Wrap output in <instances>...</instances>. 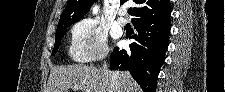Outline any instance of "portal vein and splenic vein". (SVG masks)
<instances>
[{
    "instance_id": "obj_1",
    "label": "portal vein and splenic vein",
    "mask_w": 225,
    "mask_h": 92,
    "mask_svg": "<svg viewBox=\"0 0 225 92\" xmlns=\"http://www.w3.org/2000/svg\"><path fill=\"white\" fill-rule=\"evenodd\" d=\"M79 88H81V86H79V85H74V89H79ZM85 89V91L86 92H91V90L89 89V88H84Z\"/></svg>"
}]
</instances>
